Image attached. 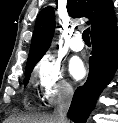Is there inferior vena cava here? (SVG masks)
<instances>
[{
	"instance_id": "602c4592",
	"label": "inferior vena cava",
	"mask_w": 118,
	"mask_h": 123,
	"mask_svg": "<svg viewBox=\"0 0 118 123\" xmlns=\"http://www.w3.org/2000/svg\"><path fill=\"white\" fill-rule=\"evenodd\" d=\"M73 96V88L69 84L60 87L57 99V105L54 109L53 116L58 123H68L66 115Z\"/></svg>"
}]
</instances>
